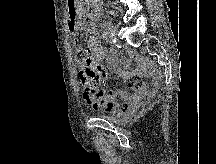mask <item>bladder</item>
<instances>
[{"label": "bladder", "instance_id": "31cf9c89", "mask_svg": "<svg viewBox=\"0 0 216 164\" xmlns=\"http://www.w3.org/2000/svg\"><path fill=\"white\" fill-rule=\"evenodd\" d=\"M111 122H115L113 119H110Z\"/></svg>", "mask_w": 216, "mask_h": 164}]
</instances>
